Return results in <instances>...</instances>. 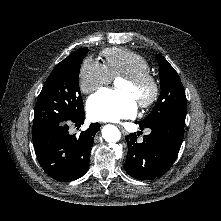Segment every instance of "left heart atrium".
Segmentation results:
<instances>
[{"instance_id":"39dd6f15","label":"left heart atrium","mask_w":221,"mask_h":221,"mask_svg":"<svg viewBox=\"0 0 221 221\" xmlns=\"http://www.w3.org/2000/svg\"><path fill=\"white\" fill-rule=\"evenodd\" d=\"M87 114L94 121H118L132 117L137 111V101L126 91L103 89L87 100Z\"/></svg>"}]
</instances>
